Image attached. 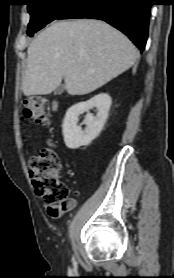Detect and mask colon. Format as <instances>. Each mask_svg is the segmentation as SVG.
Instances as JSON below:
<instances>
[{"instance_id": "obj_1", "label": "colon", "mask_w": 174, "mask_h": 278, "mask_svg": "<svg viewBox=\"0 0 174 278\" xmlns=\"http://www.w3.org/2000/svg\"><path fill=\"white\" fill-rule=\"evenodd\" d=\"M21 120L40 125L48 124L50 118L45 99L37 96L25 99ZM29 165L35 192L49 205L65 204L70 191L59 179V157L56 151L50 146L39 150L31 157Z\"/></svg>"}]
</instances>
